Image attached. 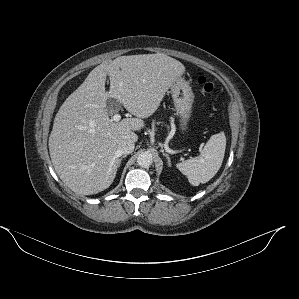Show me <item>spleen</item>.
<instances>
[{"label":"spleen","instance_id":"3e777b00","mask_svg":"<svg viewBox=\"0 0 299 299\" xmlns=\"http://www.w3.org/2000/svg\"><path fill=\"white\" fill-rule=\"evenodd\" d=\"M226 149L224 132L214 134L205 144L201 154L177 164L191 185L198 186L212 179L220 169Z\"/></svg>","mask_w":299,"mask_h":299}]
</instances>
